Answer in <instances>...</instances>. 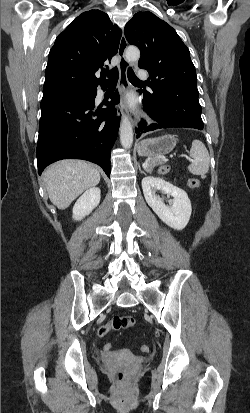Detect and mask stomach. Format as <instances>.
I'll return each instance as SVG.
<instances>
[{
	"mask_svg": "<svg viewBox=\"0 0 250 413\" xmlns=\"http://www.w3.org/2000/svg\"><path fill=\"white\" fill-rule=\"evenodd\" d=\"M177 139L173 135L142 140L137 151L140 156L161 157L170 153L176 146Z\"/></svg>",
	"mask_w": 250,
	"mask_h": 413,
	"instance_id": "obj_1",
	"label": "stomach"
}]
</instances>
